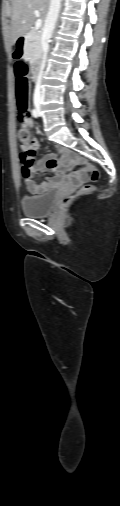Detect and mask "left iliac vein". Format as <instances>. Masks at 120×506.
Segmentation results:
<instances>
[{"label":"left iliac vein","instance_id":"left-iliac-vein-1","mask_svg":"<svg viewBox=\"0 0 120 506\" xmlns=\"http://www.w3.org/2000/svg\"><path fill=\"white\" fill-rule=\"evenodd\" d=\"M38 114L41 116V112L40 111H38Z\"/></svg>","mask_w":120,"mask_h":506}]
</instances>
